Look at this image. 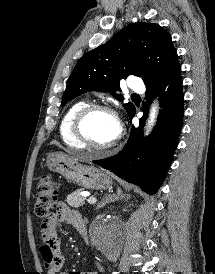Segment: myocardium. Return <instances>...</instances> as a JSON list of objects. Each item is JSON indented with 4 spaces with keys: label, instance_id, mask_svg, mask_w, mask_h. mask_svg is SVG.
<instances>
[{
    "label": "myocardium",
    "instance_id": "obj_1",
    "mask_svg": "<svg viewBox=\"0 0 215 274\" xmlns=\"http://www.w3.org/2000/svg\"><path fill=\"white\" fill-rule=\"evenodd\" d=\"M99 111L107 112V113L113 115L119 123V132H118L117 137L113 141H111L107 144H103V145L94 143L88 137V135L86 134V131H85V123L88 120V118L95 112H99ZM73 133H74V136L76 137V139L84 147L89 148L94 151L103 152V151H107V150L111 149L112 147H114L115 145H117V143L120 141V139L122 137V127L119 122L117 113L115 112L114 109H112L110 106L105 105V104H96L95 103V104H88L82 110H80L78 112V114L76 115L74 122H73Z\"/></svg>",
    "mask_w": 215,
    "mask_h": 274
}]
</instances>
